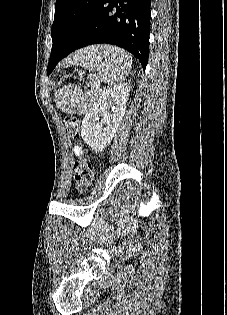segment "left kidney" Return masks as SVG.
Masks as SVG:
<instances>
[{
	"instance_id": "left-kidney-1",
	"label": "left kidney",
	"mask_w": 227,
	"mask_h": 315,
	"mask_svg": "<svg viewBox=\"0 0 227 315\" xmlns=\"http://www.w3.org/2000/svg\"><path fill=\"white\" fill-rule=\"evenodd\" d=\"M129 86L125 83L104 91L86 113L81 136L95 152H101L111 142L126 111ZM111 109V112H110ZM102 120L99 122V117Z\"/></svg>"
}]
</instances>
